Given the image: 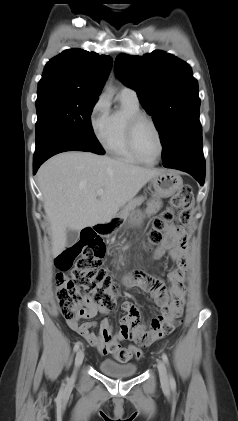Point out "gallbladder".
Listing matches in <instances>:
<instances>
[{
    "label": "gallbladder",
    "instance_id": "gallbladder-1",
    "mask_svg": "<svg viewBox=\"0 0 238 421\" xmlns=\"http://www.w3.org/2000/svg\"><path fill=\"white\" fill-rule=\"evenodd\" d=\"M78 238H79L78 231L67 229V232H66L67 247L73 246L78 241Z\"/></svg>",
    "mask_w": 238,
    "mask_h": 421
}]
</instances>
